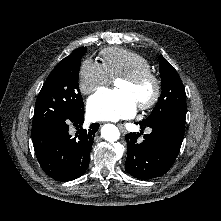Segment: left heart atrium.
<instances>
[{
    "instance_id": "obj_1",
    "label": "left heart atrium",
    "mask_w": 221,
    "mask_h": 221,
    "mask_svg": "<svg viewBox=\"0 0 221 221\" xmlns=\"http://www.w3.org/2000/svg\"><path fill=\"white\" fill-rule=\"evenodd\" d=\"M137 106L129 93L119 89H104L88 99L87 113L95 121H116L133 116Z\"/></svg>"
}]
</instances>
